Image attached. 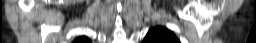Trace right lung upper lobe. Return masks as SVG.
Returning <instances> with one entry per match:
<instances>
[{
	"instance_id": "obj_1",
	"label": "right lung upper lobe",
	"mask_w": 256,
	"mask_h": 43,
	"mask_svg": "<svg viewBox=\"0 0 256 43\" xmlns=\"http://www.w3.org/2000/svg\"><path fill=\"white\" fill-rule=\"evenodd\" d=\"M73 43H91L87 37H79Z\"/></svg>"
}]
</instances>
